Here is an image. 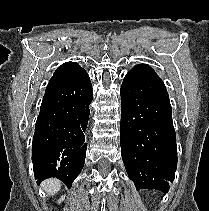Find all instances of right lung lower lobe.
Here are the masks:
<instances>
[{
	"label": "right lung lower lobe",
	"instance_id": "98d812e1",
	"mask_svg": "<svg viewBox=\"0 0 209 211\" xmlns=\"http://www.w3.org/2000/svg\"><path fill=\"white\" fill-rule=\"evenodd\" d=\"M92 97V85L84 69L45 91L32 143L38 184L56 177L71 187L80 174L86 156L84 132Z\"/></svg>",
	"mask_w": 209,
	"mask_h": 211
}]
</instances>
